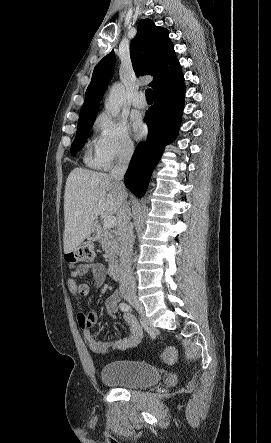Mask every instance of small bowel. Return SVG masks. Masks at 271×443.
Wrapping results in <instances>:
<instances>
[{
  "label": "small bowel",
  "instance_id": "small-bowel-1",
  "mask_svg": "<svg viewBox=\"0 0 271 443\" xmlns=\"http://www.w3.org/2000/svg\"><path fill=\"white\" fill-rule=\"evenodd\" d=\"M91 272L97 286H100L106 277V270L101 263L81 264L75 271L76 276H83ZM69 290L76 294L80 292L74 279L67 282ZM120 300L119 292L115 291L105 301L106 309L109 314L115 316L118 311V303ZM123 320L128 326L129 333L126 337L114 338L112 340L99 339L93 329L97 323V315L94 312L78 313L77 321L83 330L84 339L89 348L97 354L107 355L111 352H119L131 349L138 345L141 340V330L136 318L130 313L123 314Z\"/></svg>",
  "mask_w": 271,
  "mask_h": 443
}]
</instances>
